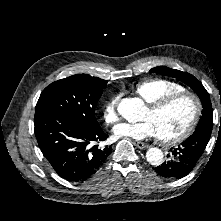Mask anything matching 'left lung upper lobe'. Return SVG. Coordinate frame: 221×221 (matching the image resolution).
Returning a JSON list of instances; mask_svg holds the SVG:
<instances>
[{"label":"left lung upper lobe","mask_w":221,"mask_h":221,"mask_svg":"<svg viewBox=\"0 0 221 221\" xmlns=\"http://www.w3.org/2000/svg\"><path fill=\"white\" fill-rule=\"evenodd\" d=\"M150 72H155L165 76L175 77L180 81H182L183 83H185L186 85H188L189 87H191L199 96L203 105L202 116L199 120L196 131L194 133H200V132L211 133L212 124H213V109L209 94L204 88V86L201 84V82L198 81L193 75L189 73L182 72L176 69H171L165 66L155 67L151 69Z\"/></svg>","instance_id":"1"}]
</instances>
